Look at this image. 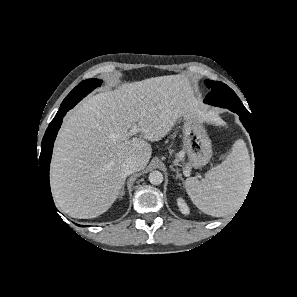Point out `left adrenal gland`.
<instances>
[{"label": "left adrenal gland", "instance_id": "1", "mask_svg": "<svg viewBox=\"0 0 297 297\" xmlns=\"http://www.w3.org/2000/svg\"><path fill=\"white\" fill-rule=\"evenodd\" d=\"M170 168H171L172 171L176 172V179L179 178L183 183H185V181H184V179L182 177V174L179 173V169H175L173 167V165H171Z\"/></svg>", "mask_w": 297, "mask_h": 297}]
</instances>
